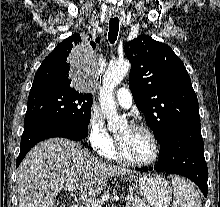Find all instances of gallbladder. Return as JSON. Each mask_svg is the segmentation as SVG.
<instances>
[{
	"label": "gallbladder",
	"instance_id": "obj_1",
	"mask_svg": "<svg viewBox=\"0 0 220 207\" xmlns=\"http://www.w3.org/2000/svg\"><path fill=\"white\" fill-rule=\"evenodd\" d=\"M52 207H57L56 205H53Z\"/></svg>",
	"mask_w": 220,
	"mask_h": 207
}]
</instances>
